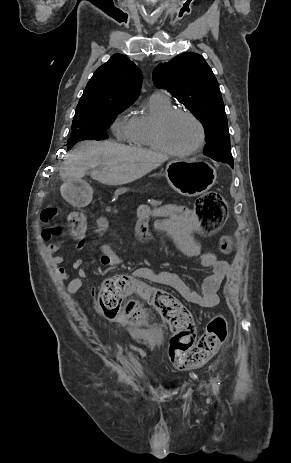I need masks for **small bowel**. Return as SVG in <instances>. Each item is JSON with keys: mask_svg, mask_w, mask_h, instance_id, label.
<instances>
[{"mask_svg": "<svg viewBox=\"0 0 291 463\" xmlns=\"http://www.w3.org/2000/svg\"><path fill=\"white\" fill-rule=\"evenodd\" d=\"M169 217V216H168ZM155 226L157 229L167 233L177 244L179 250L186 256H198L201 265L209 274L204 278L198 290L191 287L177 274L170 271H153L148 268H138L132 272L136 278L143 279L155 284L163 285L174 289L187 301L203 308H213L220 302L218 291L223 282L226 280L229 273V264L225 261L218 260L216 256L210 252H202L198 242L194 237V231L189 226H157L156 216ZM141 219L137 225L136 232L141 239L140 243L146 245L148 240L147 235L152 236L153 232L149 231V222L152 219ZM110 227L109 221L105 217H100L96 221L93 230L95 238L93 240L98 252L100 253V261L108 267H119L123 264V260L111 249L110 246L101 241V237L108 231ZM75 250L80 251L84 248V234L77 238L74 246ZM60 249L59 244L48 245L47 251L50 254L57 252ZM66 257L62 255L52 256L51 262L55 265V274L61 279H69L67 284L68 293L74 297L75 303L79 305L77 299L78 292L84 287L85 280L89 277L88 271L84 267L81 259L72 261L71 269L62 266L66 262Z\"/></svg>", "mask_w": 291, "mask_h": 463, "instance_id": "obj_1", "label": "small bowel"}]
</instances>
